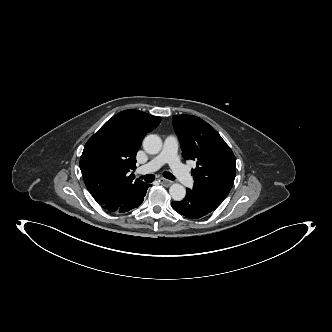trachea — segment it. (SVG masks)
I'll return each instance as SVG.
<instances>
[{
    "label": "trachea",
    "instance_id": "3493384b",
    "mask_svg": "<svg viewBox=\"0 0 332 332\" xmlns=\"http://www.w3.org/2000/svg\"><path fill=\"white\" fill-rule=\"evenodd\" d=\"M163 176L165 178L169 179V180H174L175 179L174 175L170 172H167V171H165L163 173ZM140 178L143 179L146 183H151V182L154 181L155 176L153 174H148V175H145V176H141Z\"/></svg>",
    "mask_w": 332,
    "mask_h": 332
}]
</instances>
